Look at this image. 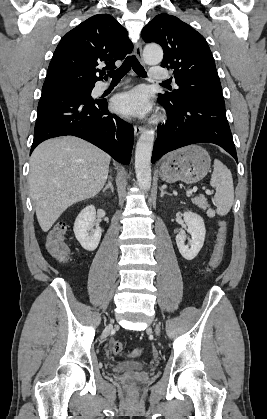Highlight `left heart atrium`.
<instances>
[{"mask_svg":"<svg viewBox=\"0 0 267 419\" xmlns=\"http://www.w3.org/2000/svg\"><path fill=\"white\" fill-rule=\"evenodd\" d=\"M113 109L122 115L144 117L151 111L149 94L144 88L121 93L113 99Z\"/></svg>","mask_w":267,"mask_h":419,"instance_id":"39dd6f15","label":"left heart atrium"}]
</instances>
